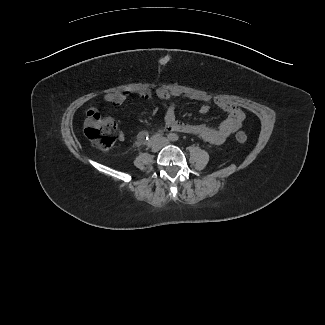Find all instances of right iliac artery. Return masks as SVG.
I'll list each match as a JSON object with an SVG mask.
<instances>
[{
    "mask_svg": "<svg viewBox=\"0 0 325 325\" xmlns=\"http://www.w3.org/2000/svg\"><path fill=\"white\" fill-rule=\"evenodd\" d=\"M161 135L160 134H155L153 135L147 142L148 146H152L154 143H156L157 141H159L161 139Z\"/></svg>",
    "mask_w": 325,
    "mask_h": 325,
    "instance_id": "1",
    "label": "right iliac artery"
}]
</instances>
